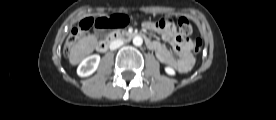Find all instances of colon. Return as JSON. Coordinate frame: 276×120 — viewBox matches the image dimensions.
<instances>
[{"mask_svg": "<svg viewBox=\"0 0 276 120\" xmlns=\"http://www.w3.org/2000/svg\"><path fill=\"white\" fill-rule=\"evenodd\" d=\"M125 24V20L121 17L114 18H100L98 20H93L91 18L82 19L79 24L74 27L69 35L66 42V50H68L77 40V38L83 32L87 31L91 26H95L98 29H106L113 27H120ZM158 25L162 28L171 27L174 25L173 21L170 19H161L158 21ZM178 28L181 36L187 37L192 33V25L188 18L181 17L178 20ZM203 48V42L201 39L196 38L192 41V51L195 55H200Z\"/></svg>", "mask_w": 276, "mask_h": 120, "instance_id": "1", "label": "colon"}]
</instances>
